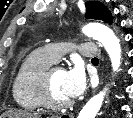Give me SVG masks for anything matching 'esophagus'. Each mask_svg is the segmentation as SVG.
<instances>
[{
	"label": "esophagus",
	"mask_w": 133,
	"mask_h": 118,
	"mask_svg": "<svg viewBox=\"0 0 133 118\" xmlns=\"http://www.w3.org/2000/svg\"><path fill=\"white\" fill-rule=\"evenodd\" d=\"M101 83H102V79L100 81V85H101ZM60 118H74V115H73V113H64L60 116Z\"/></svg>",
	"instance_id": "1"
}]
</instances>
